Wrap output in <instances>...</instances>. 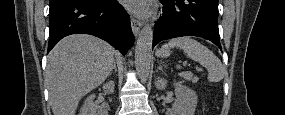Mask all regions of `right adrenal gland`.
I'll return each instance as SVG.
<instances>
[{
	"label": "right adrenal gland",
	"instance_id": "1",
	"mask_svg": "<svg viewBox=\"0 0 285 115\" xmlns=\"http://www.w3.org/2000/svg\"><path fill=\"white\" fill-rule=\"evenodd\" d=\"M113 70H114L115 72H117L116 63H115V62H114V64H113V69H112L111 72L109 73V76H111V74L113 73Z\"/></svg>",
	"mask_w": 285,
	"mask_h": 115
}]
</instances>
